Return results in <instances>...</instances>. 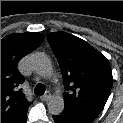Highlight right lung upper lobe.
<instances>
[{"mask_svg":"<svg viewBox=\"0 0 123 123\" xmlns=\"http://www.w3.org/2000/svg\"><path fill=\"white\" fill-rule=\"evenodd\" d=\"M38 32L10 34L1 40V123H26L29 105L22 94L17 63L43 42Z\"/></svg>","mask_w":123,"mask_h":123,"instance_id":"cb5924a9","label":"right lung upper lobe"}]
</instances>
